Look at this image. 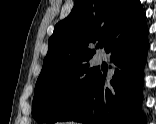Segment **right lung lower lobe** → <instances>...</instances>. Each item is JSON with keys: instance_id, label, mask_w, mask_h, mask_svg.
<instances>
[{"instance_id": "98d812e1", "label": "right lung lower lobe", "mask_w": 156, "mask_h": 124, "mask_svg": "<svg viewBox=\"0 0 156 124\" xmlns=\"http://www.w3.org/2000/svg\"><path fill=\"white\" fill-rule=\"evenodd\" d=\"M147 26L131 30L118 38L106 51L112 52L116 66L105 86V74L99 73L80 100L59 121L87 124H145L141 111L142 76L149 47Z\"/></svg>"}]
</instances>
